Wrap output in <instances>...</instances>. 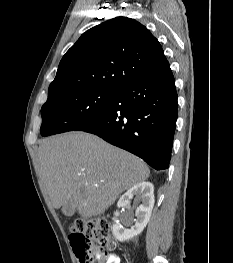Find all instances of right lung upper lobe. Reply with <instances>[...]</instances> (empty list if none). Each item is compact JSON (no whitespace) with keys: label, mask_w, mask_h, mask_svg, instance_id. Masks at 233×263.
<instances>
[{"label":"right lung upper lobe","mask_w":233,"mask_h":263,"mask_svg":"<svg viewBox=\"0 0 233 263\" xmlns=\"http://www.w3.org/2000/svg\"><path fill=\"white\" fill-rule=\"evenodd\" d=\"M170 69L162 46L150 31L127 17L86 31L63 56L48 97L84 89H114Z\"/></svg>","instance_id":"1"}]
</instances>
